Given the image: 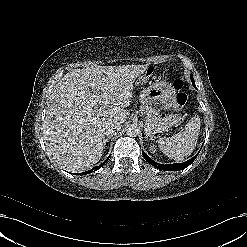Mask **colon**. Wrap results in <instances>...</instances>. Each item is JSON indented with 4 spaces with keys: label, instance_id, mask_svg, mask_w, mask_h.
<instances>
[{
    "label": "colon",
    "instance_id": "5ec220e1",
    "mask_svg": "<svg viewBox=\"0 0 247 247\" xmlns=\"http://www.w3.org/2000/svg\"><path fill=\"white\" fill-rule=\"evenodd\" d=\"M173 87L176 92L175 106L177 109H181L187 102V94L184 89V84L181 80L176 79L173 81Z\"/></svg>",
    "mask_w": 247,
    "mask_h": 247
}]
</instances>
